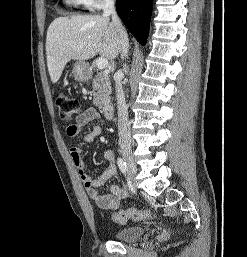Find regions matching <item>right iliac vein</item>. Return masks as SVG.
I'll return each instance as SVG.
<instances>
[{"instance_id":"obj_1","label":"right iliac vein","mask_w":247,"mask_h":257,"mask_svg":"<svg viewBox=\"0 0 247 257\" xmlns=\"http://www.w3.org/2000/svg\"><path fill=\"white\" fill-rule=\"evenodd\" d=\"M122 156L124 161L127 164V172L129 178L132 180L134 176L136 175L137 169H136V164L133 159L132 153L128 149H123L122 150Z\"/></svg>"}]
</instances>
